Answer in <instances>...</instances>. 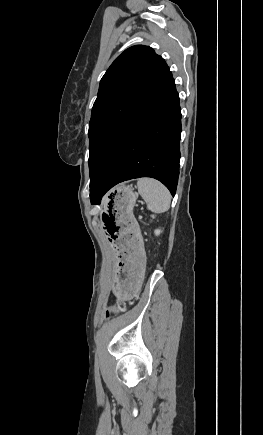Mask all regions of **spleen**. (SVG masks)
Instances as JSON below:
<instances>
[{
  "mask_svg": "<svg viewBox=\"0 0 263 435\" xmlns=\"http://www.w3.org/2000/svg\"><path fill=\"white\" fill-rule=\"evenodd\" d=\"M137 186L139 194L147 203L150 211L162 213L169 209L171 195L161 182L152 178H140Z\"/></svg>",
  "mask_w": 263,
  "mask_h": 435,
  "instance_id": "spleen-1",
  "label": "spleen"
}]
</instances>
